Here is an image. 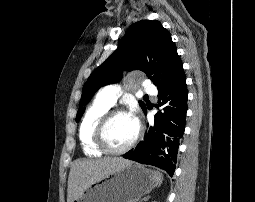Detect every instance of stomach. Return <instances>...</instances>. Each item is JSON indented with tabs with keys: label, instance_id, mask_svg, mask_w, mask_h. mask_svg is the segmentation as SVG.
<instances>
[{
	"label": "stomach",
	"instance_id": "0dacf381",
	"mask_svg": "<svg viewBox=\"0 0 255 202\" xmlns=\"http://www.w3.org/2000/svg\"><path fill=\"white\" fill-rule=\"evenodd\" d=\"M154 186L152 171L131 164L94 182L73 202H138Z\"/></svg>",
	"mask_w": 255,
	"mask_h": 202
}]
</instances>
